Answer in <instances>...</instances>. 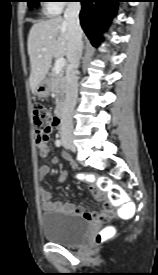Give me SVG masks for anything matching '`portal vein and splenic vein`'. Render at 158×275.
<instances>
[{"mask_svg":"<svg viewBox=\"0 0 158 275\" xmlns=\"http://www.w3.org/2000/svg\"><path fill=\"white\" fill-rule=\"evenodd\" d=\"M65 64H66V60L64 58L57 59L54 67L55 73H60L64 68Z\"/></svg>","mask_w":158,"mask_h":275,"instance_id":"obj_1","label":"portal vein and splenic vein"}]
</instances>
